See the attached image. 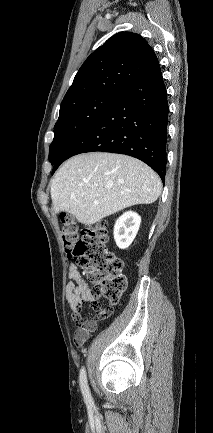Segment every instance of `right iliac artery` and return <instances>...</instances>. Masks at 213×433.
<instances>
[{
	"label": "right iliac artery",
	"instance_id": "right-iliac-artery-1",
	"mask_svg": "<svg viewBox=\"0 0 213 433\" xmlns=\"http://www.w3.org/2000/svg\"><path fill=\"white\" fill-rule=\"evenodd\" d=\"M79 380H80V387H81V391H82V394L84 396L85 402L88 405H92L93 402H92L90 390H89V387L87 384L86 371H85L84 367H82V369L80 371Z\"/></svg>",
	"mask_w": 213,
	"mask_h": 433
}]
</instances>
